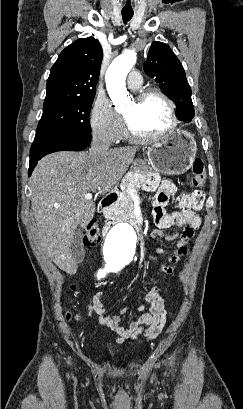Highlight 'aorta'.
I'll use <instances>...</instances> for the list:
<instances>
[{
	"mask_svg": "<svg viewBox=\"0 0 243 409\" xmlns=\"http://www.w3.org/2000/svg\"><path fill=\"white\" fill-rule=\"evenodd\" d=\"M135 63L136 54L129 51L116 57L106 71V88L116 107H122L130 101L125 80ZM135 241L136 233L130 224L119 223L112 227L104 242V254L107 261H115L129 254Z\"/></svg>",
	"mask_w": 243,
	"mask_h": 409,
	"instance_id": "762f6f07",
	"label": "aorta"
}]
</instances>
